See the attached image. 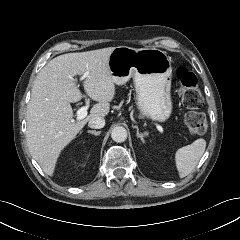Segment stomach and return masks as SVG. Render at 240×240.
Listing matches in <instances>:
<instances>
[{"mask_svg": "<svg viewBox=\"0 0 240 240\" xmlns=\"http://www.w3.org/2000/svg\"><path fill=\"white\" fill-rule=\"evenodd\" d=\"M108 67L117 85L133 78L136 105L143 116L160 122L169 118L172 66L166 52L156 48L119 46L110 54Z\"/></svg>", "mask_w": 240, "mask_h": 240, "instance_id": "1", "label": "stomach"}]
</instances>
